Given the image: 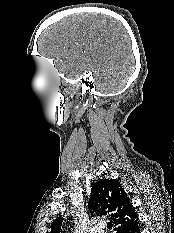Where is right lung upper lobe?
Returning <instances> with one entry per match:
<instances>
[{"mask_svg":"<svg viewBox=\"0 0 174 233\" xmlns=\"http://www.w3.org/2000/svg\"><path fill=\"white\" fill-rule=\"evenodd\" d=\"M88 206L98 215L110 216L117 233H125L139 224L127 193L116 180L105 179L94 184ZM62 221L63 218L59 216L51 226L50 233H60Z\"/></svg>","mask_w":174,"mask_h":233,"instance_id":"right-lung-upper-lobe-1","label":"right lung upper lobe"}]
</instances>
